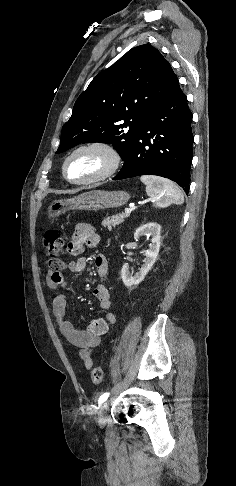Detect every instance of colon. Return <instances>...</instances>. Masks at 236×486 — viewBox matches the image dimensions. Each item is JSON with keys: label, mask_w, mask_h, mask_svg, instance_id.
Masks as SVG:
<instances>
[{"label": "colon", "mask_w": 236, "mask_h": 486, "mask_svg": "<svg viewBox=\"0 0 236 486\" xmlns=\"http://www.w3.org/2000/svg\"><path fill=\"white\" fill-rule=\"evenodd\" d=\"M44 245L48 256L56 259L64 249V240L57 231L50 230L44 236ZM91 378L94 384H100L103 380V369L100 366L94 367Z\"/></svg>", "instance_id": "obj_1"}]
</instances>
